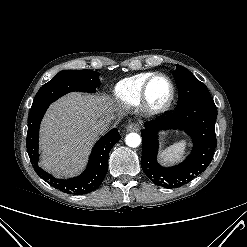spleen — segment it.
Listing matches in <instances>:
<instances>
[{
  "label": "spleen",
  "instance_id": "1",
  "mask_svg": "<svg viewBox=\"0 0 247 247\" xmlns=\"http://www.w3.org/2000/svg\"><path fill=\"white\" fill-rule=\"evenodd\" d=\"M187 142L185 140H181L165 150H163L159 155V160L164 164H171L180 161L186 150Z\"/></svg>",
  "mask_w": 247,
  "mask_h": 247
}]
</instances>
